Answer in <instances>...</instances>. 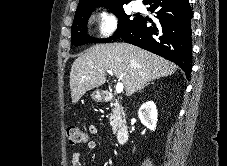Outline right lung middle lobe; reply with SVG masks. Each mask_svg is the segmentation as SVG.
Segmentation results:
<instances>
[{
    "label": "right lung middle lobe",
    "mask_w": 227,
    "mask_h": 166,
    "mask_svg": "<svg viewBox=\"0 0 227 166\" xmlns=\"http://www.w3.org/2000/svg\"><path fill=\"white\" fill-rule=\"evenodd\" d=\"M93 9L85 11H77L75 13L73 25H72V35H71V44L74 46H81L87 43H105L111 41L112 39H117L122 33H124L128 28L134 25L140 17L130 19V16H127L124 12L123 6L109 8V11L114 13L118 19V29L115 34L108 39H97L92 38L87 34V21L91 15Z\"/></svg>",
    "instance_id": "dd1d6c3e"
}]
</instances>
